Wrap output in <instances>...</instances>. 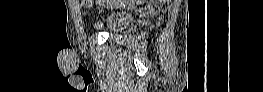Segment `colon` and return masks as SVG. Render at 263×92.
I'll use <instances>...</instances> for the list:
<instances>
[{
  "label": "colon",
  "mask_w": 263,
  "mask_h": 92,
  "mask_svg": "<svg viewBox=\"0 0 263 92\" xmlns=\"http://www.w3.org/2000/svg\"><path fill=\"white\" fill-rule=\"evenodd\" d=\"M79 2L87 4V3L92 2V1L82 0V1H79ZM100 2H118V1H100Z\"/></svg>",
  "instance_id": "5ec220e1"
}]
</instances>
